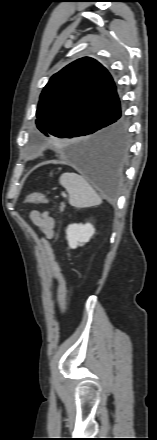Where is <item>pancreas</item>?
<instances>
[{"label":"pancreas","mask_w":157,"mask_h":440,"mask_svg":"<svg viewBox=\"0 0 157 440\" xmlns=\"http://www.w3.org/2000/svg\"><path fill=\"white\" fill-rule=\"evenodd\" d=\"M64 208H65V203L62 202V203H61V206H60V211L63 212V211H64Z\"/></svg>","instance_id":"obj_1"}]
</instances>
